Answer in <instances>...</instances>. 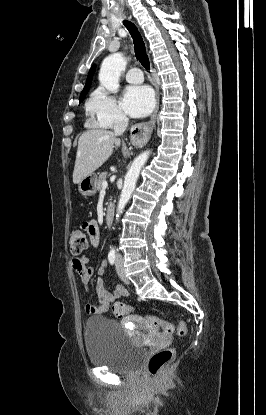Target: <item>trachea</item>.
<instances>
[{"label": "trachea", "mask_w": 266, "mask_h": 415, "mask_svg": "<svg viewBox=\"0 0 266 415\" xmlns=\"http://www.w3.org/2000/svg\"><path fill=\"white\" fill-rule=\"evenodd\" d=\"M123 24L125 25V27L128 29V31L130 32V34L132 36L136 58L139 60L141 65L146 70H150L149 58H148V55L146 53L145 44H144L143 38H142L139 30L130 21L124 20Z\"/></svg>", "instance_id": "trachea-1"}]
</instances>
